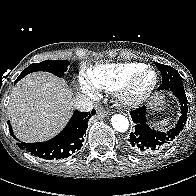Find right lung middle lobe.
Listing matches in <instances>:
<instances>
[{
    "instance_id": "dd1d6c3e",
    "label": "right lung middle lobe",
    "mask_w": 196,
    "mask_h": 196,
    "mask_svg": "<svg viewBox=\"0 0 196 196\" xmlns=\"http://www.w3.org/2000/svg\"><path fill=\"white\" fill-rule=\"evenodd\" d=\"M68 65L69 61L66 60H46L40 63H34L24 69L17 79H21L27 74L35 71H47L61 77L64 72L67 71Z\"/></svg>"
}]
</instances>
